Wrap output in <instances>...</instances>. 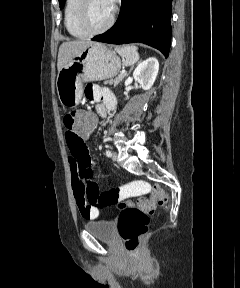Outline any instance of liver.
Listing matches in <instances>:
<instances>
[{"instance_id":"6515ba94","label":"liver","mask_w":240,"mask_h":288,"mask_svg":"<svg viewBox=\"0 0 240 288\" xmlns=\"http://www.w3.org/2000/svg\"><path fill=\"white\" fill-rule=\"evenodd\" d=\"M91 43L93 42H91L89 39L74 40L62 43L58 52V72L72 57L78 55Z\"/></svg>"}]
</instances>
